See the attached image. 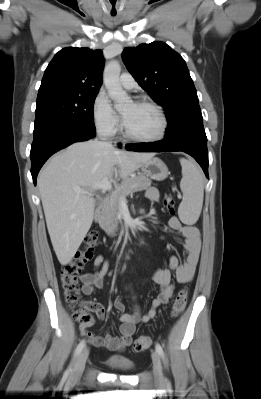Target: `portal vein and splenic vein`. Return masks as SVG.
I'll list each match as a JSON object with an SVG mask.
<instances>
[{
  "label": "portal vein and splenic vein",
  "instance_id": "obj_1",
  "mask_svg": "<svg viewBox=\"0 0 261 399\" xmlns=\"http://www.w3.org/2000/svg\"><path fill=\"white\" fill-rule=\"evenodd\" d=\"M97 189L110 191V190H112V184L110 183L109 179L107 177H105L100 183H97L94 186H92L90 191L97 190ZM75 191L78 193L83 192V190L81 188H75ZM125 203H126V199L122 198L120 204H125Z\"/></svg>",
  "mask_w": 261,
  "mask_h": 399
}]
</instances>
